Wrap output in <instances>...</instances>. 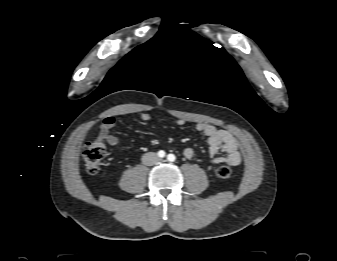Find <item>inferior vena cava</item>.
I'll return each mask as SVG.
<instances>
[{
    "instance_id": "1",
    "label": "inferior vena cava",
    "mask_w": 337,
    "mask_h": 261,
    "mask_svg": "<svg viewBox=\"0 0 337 261\" xmlns=\"http://www.w3.org/2000/svg\"><path fill=\"white\" fill-rule=\"evenodd\" d=\"M161 162V159L154 152L145 153L142 156V163L147 166H152Z\"/></svg>"
}]
</instances>
